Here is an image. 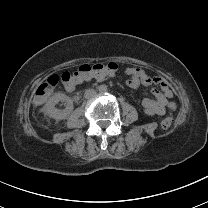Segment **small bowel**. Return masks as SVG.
Returning a JSON list of instances; mask_svg holds the SVG:
<instances>
[{"label": "small bowel", "mask_w": 208, "mask_h": 208, "mask_svg": "<svg viewBox=\"0 0 208 208\" xmlns=\"http://www.w3.org/2000/svg\"><path fill=\"white\" fill-rule=\"evenodd\" d=\"M125 74L128 75L126 81L127 86L136 88L140 84L144 85H157L160 89L153 90L154 98H144L142 100V106L146 115L149 116H162L168 110H175L176 106L173 102V93L169 88L166 80L160 76H150L144 70L140 68H126ZM94 81L97 83L106 82L107 76L97 74L94 76ZM76 85L65 86L67 91H72Z\"/></svg>", "instance_id": "obj_1"}]
</instances>
